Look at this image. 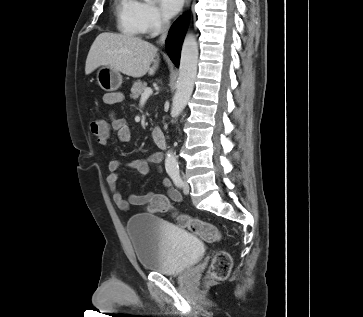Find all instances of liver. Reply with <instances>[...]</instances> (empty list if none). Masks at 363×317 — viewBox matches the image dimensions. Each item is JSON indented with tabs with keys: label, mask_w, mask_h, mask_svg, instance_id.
<instances>
[{
	"label": "liver",
	"mask_w": 363,
	"mask_h": 317,
	"mask_svg": "<svg viewBox=\"0 0 363 317\" xmlns=\"http://www.w3.org/2000/svg\"><path fill=\"white\" fill-rule=\"evenodd\" d=\"M157 52V47L139 37L101 33L89 50L85 73L89 75L100 66H109L134 78L146 73L154 75L159 66L158 59L154 60L158 57Z\"/></svg>",
	"instance_id": "6515ba94"
}]
</instances>
